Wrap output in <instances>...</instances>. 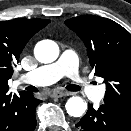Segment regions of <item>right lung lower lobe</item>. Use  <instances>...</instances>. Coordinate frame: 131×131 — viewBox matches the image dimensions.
Masks as SVG:
<instances>
[{
  "label": "right lung lower lobe",
  "mask_w": 131,
  "mask_h": 131,
  "mask_svg": "<svg viewBox=\"0 0 131 131\" xmlns=\"http://www.w3.org/2000/svg\"><path fill=\"white\" fill-rule=\"evenodd\" d=\"M40 102L26 91L19 95L0 91V131H33L37 124L35 110Z\"/></svg>",
  "instance_id": "obj_1"
}]
</instances>
